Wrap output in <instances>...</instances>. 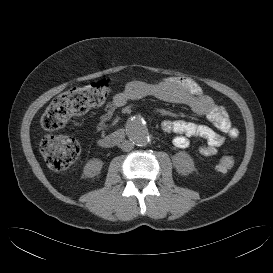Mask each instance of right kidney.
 Returning a JSON list of instances; mask_svg holds the SVG:
<instances>
[{
	"mask_svg": "<svg viewBox=\"0 0 273 273\" xmlns=\"http://www.w3.org/2000/svg\"><path fill=\"white\" fill-rule=\"evenodd\" d=\"M103 162L98 158L89 160L84 167V175L87 178H93L98 175L102 169Z\"/></svg>",
	"mask_w": 273,
	"mask_h": 273,
	"instance_id": "obj_1",
	"label": "right kidney"
}]
</instances>
